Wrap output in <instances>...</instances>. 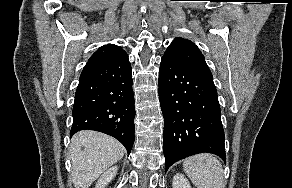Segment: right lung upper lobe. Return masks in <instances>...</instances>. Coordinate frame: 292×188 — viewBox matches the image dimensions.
<instances>
[{
    "mask_svg": "<svg viewBox=\"0 0 292 188\" xmlns=\"http://www.w3.org/2000/svg\"><path fill=\"white\" fill-rule=\"evenodd\" d=\"M126 54V52L119 46L114 44H107L101 46L93 55L90 57L91 60H101L118 57Z\"/></svg>",
    "mask_w": 292,
    "mask_h": 188,
    "instance_id": "1",
    "label": "right lung upper lobe"
}]
</instances>
